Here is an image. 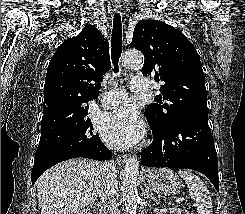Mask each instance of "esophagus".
Segmentation results:
<instances>
[{"label":"esophagus","instance_id":"1","mask_svg":"<svg viewBox=\"0 0 245 214\" xmlns=\"http://www.w3.org/2000/svg\"><path fill=\"white\" fill-rule=\"evenodd\" d=\"M114 10L118 13H122V6L120 4H115L114 5ZM129 158V155L124 154V155H119L117 160L118 162H125Z\"/></svg>","mask_w":245,"mask_h":214}]
</instances>
